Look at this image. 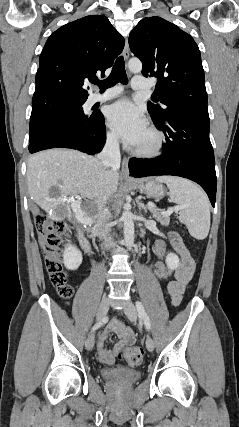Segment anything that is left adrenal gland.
<instances>
[{"instance_id":"1","label":"left adrenal gland","mask_w":239,"mask_h":427,"mask_svg":"<svg viewBox=\"0 0 239 427\" xmlns=\"http://www.w3.org/2000/svg\"><path fill=\"white\" fill-rule=\"evenodd\" d=\"M136 202L139 210L143 209L144 212L147 213V207L142 202H140V199H136Z\"/></svg>"}]
</instances>
